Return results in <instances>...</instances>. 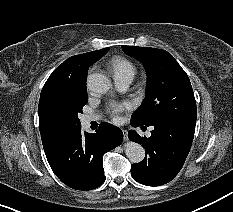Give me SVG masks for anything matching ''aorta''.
<instances>
[{"label": "aorta", "instance_id": "762f6f07", "mask_svg": "<svg viewBox=\"0 0 233 212\" xmlns=\"http://www.w3.org/2000/svg\"><path fill=\"white\" fill-rule=\"evenodd\" d=\"M87 85L92 92L99 94L108 92L112 87L110 79L101 73H93L89 75ZM125 154L132 163H139L145 157L143 147L135 142H127L125 144Z\"/></svg>", "mask_w": 233, "mask_h": 212}]
</instances>
